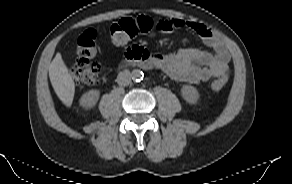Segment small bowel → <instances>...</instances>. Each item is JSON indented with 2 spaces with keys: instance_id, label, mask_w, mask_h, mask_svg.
<instances>
[{
  "instance_id": "obj_1",
  "label": "small bowel",
  "mask_w": 292,
  "mask_h": 184,
  "mask_svg": "<svg viewBox=\"0 0 292 184\" xmlns=\"http://www.w3.org/2000/svg\"><path fill=\"white\" fill-rule=\"evenodd\" d=\"M155 24L159 33H171L175 29L188 28L210 48V51L184 48L163 56H154L158 61L157 66L172 79L200 83L226 73L230 53L222 38L211 27L180 18L159 19Z\"/></svg>"
}]
</instances>
